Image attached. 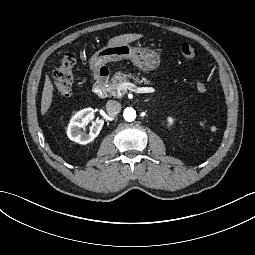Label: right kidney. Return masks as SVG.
<instances>
[{
	"instance_id": "1",
	"label": "right kidney",
	"mask_w": 255,
	"mask_h": 255,
	"mask_svg": "<svg viewBox=\"0 0 255 255\" xmlns=\"http://www.w3.org/2000/svg\"><path fill=\"white\" fill-rule=\"evenodd\" d=\"M93 119L94 110L92 108H86L77 112L74 116H72L67 127L68 138L79 144H87L93 141L103 127V120H96L92 122V128L88 134L81 131V128Z\"/></svg>"
}]
</instances>
